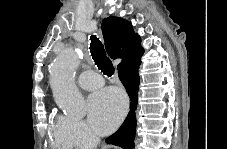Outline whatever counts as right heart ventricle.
<instances>
[{"instance_id": "1", "label": "right heart ventricle", "mask_w": 227, "mask_h": 149, "mask_svg": "<svg viewBox=\"0 0 227 149\" xmlns=\"http://www.w3.org/2000/svg\"><path fill=\"white\" fill-rule=\"evenodd\" d=\"M54 143L59 146H72L67 138L62 117H56L51 126Z\"/></svg>"}]
</instances>
